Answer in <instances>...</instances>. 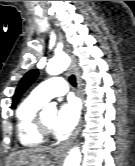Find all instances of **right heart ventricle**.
Here are the masks:
<instances>
[{
  "label": "right heart ventricle",
  "instance_id": "obj_1",
  "mask_svg": "<svg viewBox=\"0 0 135 166\" xmlns=\"http://www.w3.org/2000/svg\"><path fill=\"white\" fill-rule=\"evenodd\" d=\"M44 104V101L30 94L16 109V134L23 147L36 148L44 143V137L38 132L35 124L36 116Z\"/></svg>",
  "mask_w": 135,
  "mask_h": 166
}]
</instances>
